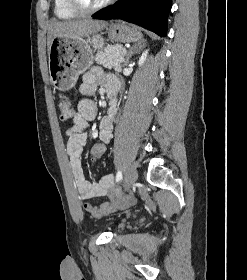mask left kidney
<instances>
[{"label":"left kidney","mask_w":247,"mask_h":280,"mask_svg":"<svg viewBox=\"0 0 247 280\" xmlns=\"http://www.w3.org/2000/svg\"><path fill=\"white\" fill-rule=\"evenodd\" d=\"M147 55H148V50L144 51L141 55V57L139 58V61H138V65L139 66H142L147 58Z\"/></svg>","instance_id":"5707ae66"}]
</instances>
